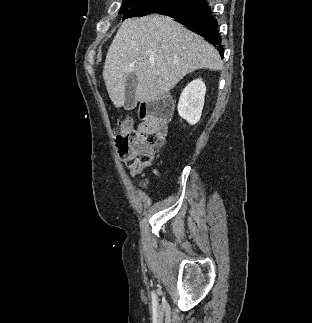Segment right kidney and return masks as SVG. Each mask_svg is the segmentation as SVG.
Wrapping results in <instances>:
<instances>
[{
    "mask_svg": "<svg viewBox=\"0 0 312 323\" xmlns=\"http://www.w3.org/2000/svg\"><path fill=\"white\" fill-rule=\"evenodd\" d=\"M205 94L206 86L201 78H199V80L190 82L180 96L178 102L179 116L187 120L191 126L197 124L201 118Z\"/></svg>",
    "mask_w": 312,
    "mask_h": 323,
    "instance_id": "obj_1",
    "label": "right kidney"
}]
</instances>
